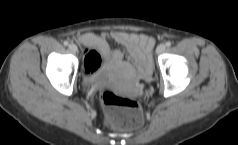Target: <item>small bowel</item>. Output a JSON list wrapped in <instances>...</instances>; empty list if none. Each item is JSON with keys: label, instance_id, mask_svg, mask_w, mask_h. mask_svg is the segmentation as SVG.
Returning <instances> with one entry per match:
<instances>
[{"label": "small bowel", "instance_id": "small-bowel-1", "mask_svg": "<svg viewBox=\"0 0 238 145\" xmlns=\"http://www.w3.org/2000/svg\"><path fill=\"white\" fill-rule=\"evenodd\" d=\"M77 39L81 44L94 48L108 62H121L126 58L135 64L144 80L151 77L154 41L148 35L115 30L100 35L84 33L78 35ZM110 42L120 48L112 49Z\"/></svg>", "mask_w": 238, "mask_h": 145}]
</instances>
